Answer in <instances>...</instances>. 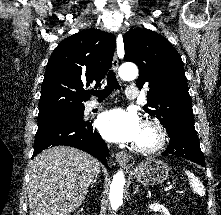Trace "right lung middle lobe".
<instances>
[{
  "label": "right lung middle lobe",
  "instance_id": "1",
  "mask_svg": "<svg viewBox=\"0 0 221 215\" xmlns=\"http://www.w3.org/2000/svg\"><path fill=\"white\" fill-rule=\"evenodd\" d=\"M83 112H84V108H80V109L62 113V114L41 116V117H38V126L46 124V123L62 121V120L83 119Z\"/></svg>",
  "mask_w": 221,
  "mask_h": 215
}]
</instances>
